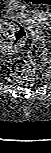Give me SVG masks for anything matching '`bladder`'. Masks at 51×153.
<instances>
[{
  "label": "bladder",
  "instance_id": "bladder-1",
  "mask_svg": "<svg viewBox=\"0 0 51 153\" xmlns=\"http://www.w3.org/2000/svg\"><path fill=\"white\" fill-rule=\"evenodd\" d=\"M14 2V0H8V3L11 5Z\"/></svg>",
  "mask_w": 51,
  "mask_h": 153
}]
</instances>
